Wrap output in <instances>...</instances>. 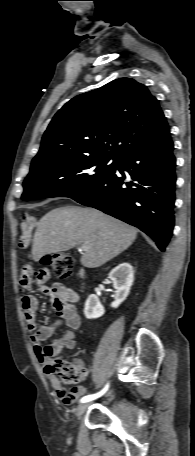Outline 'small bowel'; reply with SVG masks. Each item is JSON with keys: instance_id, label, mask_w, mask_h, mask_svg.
<instances>
[{"instance_id": "c3829d8e", "label": "small bowel", "mask_w": 195, "mask_h": 456, "mask_svg": "<svg viewBox=\"0 0 195 456\" xmlns=\"http://www.w3.org/2000/svg\"><path fill=\"white\" fill-rule=\"evenodd\" d=\"M34 226L35 219L32 216L23 218L20 224L21 235L19 245L21 248L28 246ZM49 279L50 273L47 269L41 268L33 272L29 267H25L22 270L19 279L22 289H27L32 283H35L50 295L58 315V319L55 322L37 328L36 316L39 306L37 298L34 295H25L21 300L25 322L31 331L30 341L33 345L35 355L41 363L49 359L48 353L56 356L63 349H72L75 346V331L81 325V318L75 306L80 299L79 294L61 282H55L50 287H47L46 284ZM61 325L66 326L68 330L59 338L54 339L50 345L43 347L42 344ZM76 362L83 367L82 361L77 360ZM48 378L56 397L65 405L73 404L80 396L86 393V389L83 386H76L67 390L55 376L48 375Z\"/></svg>"}]
</instances>
